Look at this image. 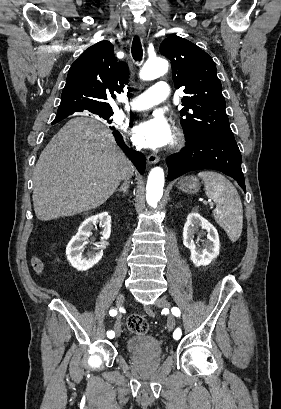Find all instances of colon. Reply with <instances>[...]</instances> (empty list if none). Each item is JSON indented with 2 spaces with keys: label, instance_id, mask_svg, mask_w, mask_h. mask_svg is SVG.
<instances>
[{
  "label": "colon",
  "instance_id": "1",
  "mask_svg": "<svg viewBox=\"0 0 281 409\" xmlns=\"http://www.w3.org/2000/svg\"><path fill=\"white\" fill-rule=\"evenodd\" d=\"M128 326L136 334H143L148 329L147 321H145V319L141 315H138V314L132 315L128 319Z\"/></svg>",
  "mask_w": 281,
  "mask_h": 409
}]
</instances>
